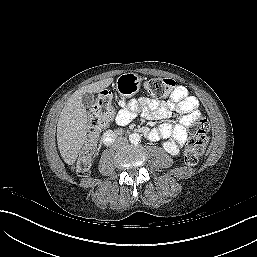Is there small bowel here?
<instances>
[{
  "label": "small bowel",
  "instance_id": "c3829d8e",
  "mask_svg": "<svg viewBox=\"0 0 257 257\" xmlns=\"http://www.w3.org/2000/svg\"><path fill=\"white\" fill-rule=\"evenodd\" d=\"M198 101L188 94L184 86H177L171 93L170 100L166 103H158L147 98L120 101V110L116 116V123L126 125L137 114L147 119H163L170 115L172 110L182 114L179 123H164L152 130L149 134L151 140L168 138L182 145L187 139V128L200 116Z\"/></svg>",
  "mask_w": 257,
  "mask_h": 257
}]
</instances>
